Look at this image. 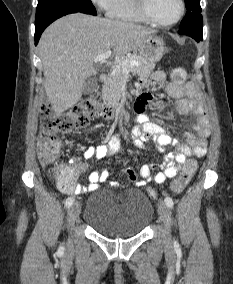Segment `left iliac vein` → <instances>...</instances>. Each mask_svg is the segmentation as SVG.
Segmentation results:
<instances>
[{
	"instance_id": "left-iliac-vein-1",
	"label": "left iliac vein",
	"mask_w": 233,
	"mask_h": 284,
	"mask_svg": "<svg viewBox=\"0 0 233 284\" xmlns=\"http://www.w3.org/2000/svg\"><path fill=\"white\" fill-rule=\"evenodd\" d=\"M158 212L164 224L165 241L166 243H169L170 242V221H171L170 209L163 201H160L158 203Z\"/></svg>"
}]
</instances>
